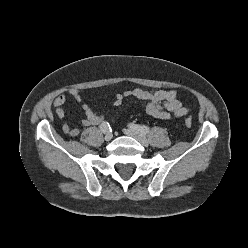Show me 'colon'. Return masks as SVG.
<instances>
[{"label":"colon","instance_id":"obj_1","mask_svg":"<svg viewBox=\"0 0 248 248\" xmlns=\"http://www.w3.org/2000/svg\"><path fill=\"white\" fill-rule=\"evenodd\" d=\"M185 125H186L187 127H191V126H192V119H191L190 117H187V118L185 119Z\"/></svg>","mask_w":248,"mask_h":248}]
</instances>
